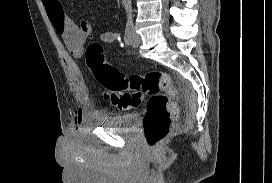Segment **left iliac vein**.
<instances>
[{
    "label": "left iliac vein",
    "mask_w": 272,
    "mask_h": 183,
    "mask_svg": "<svg viewBox=\"0 0 272 183\" xmlns=\"http://www.w3.org/2000/svg\"><path fill=\"white\" fill-rule=\"evenodd\" d=\"M141 39L140 36L136 33L135 29H133V37H132V46L138 47L140 45Z\"/></svg>",
    "instance_id": "1"
}]
</instances>
